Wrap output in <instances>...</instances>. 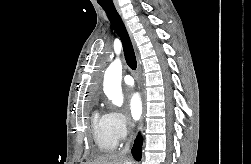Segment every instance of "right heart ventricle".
Returning <instances> with one entry per match:
<instances>
[{
    "label": "right heart ventricle",
    "mask_w": 251,
    "mask_h": 164,
    "mask_svg": "<svg viewBox=\"0 0 251 164\" xmlns=\"http://www.w3.org/2000/svg\"><path fill=\"white\" fill-rule=\"evenodd\" d=\"M92 133L98 150L109 153L115 150L118 140L111 131L107 114L95 111L91 118Z\"/></svg>",
    "instance_id": "1"
}]
</instances>
